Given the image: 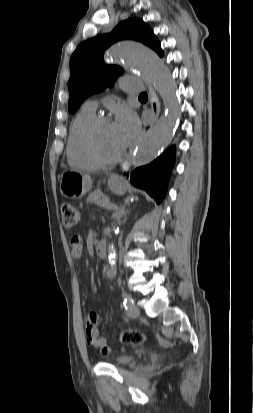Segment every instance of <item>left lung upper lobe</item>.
Listing matches in <instances>:
<instances>
[{
  "label": "left lung upper lobe",
  "mask_w": 253,
  "mask_h": 413,
  "mask_svg": "<svg viewBox=\"0 0 253 413\" xmlns=\"http://www.w3.org/2000/svg\"><path fill=\"white\" fill-rule=\"evenodd\" d=\"M126 39L141 42L163 56L160 43L150 26L138 18L125 20L111 33L82 42L70 59V113H74L91 94L112 86L117 76L123 73L119 66H107L103 61V55L112 44Z\"/></svg>",
  "instance_id": "left-lung-upper-lobe-1"
}]
</instances>
